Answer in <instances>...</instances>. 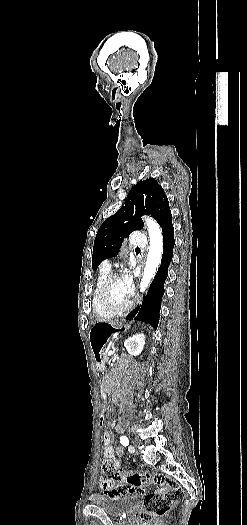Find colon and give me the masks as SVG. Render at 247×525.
Segmentation results:
<instances>
[{
    "label": "colon",
    "instance_id": "5ec220e1",
    "mask_svg": "<svg viewBox=\"0 0 247 525\" xmlns=\"http://www.w3.org/2000/svg\"><path fill=\"white\" fill-rule=\"evenodd\" d=\"M98 427L104 429L106 421L101 419ZM101 471L107 481L120 482L119 496L133 493L144 495V510L141 513L143 521L163 520L169 512L171 504L185 498L183 487L163 474L129 472L125 476H121L109 461L102 462ZM145 488H149V490L145 492Z\"/></svg>",
    "mask_w": 247,
    "mask_h": 525
}]
</instances>
